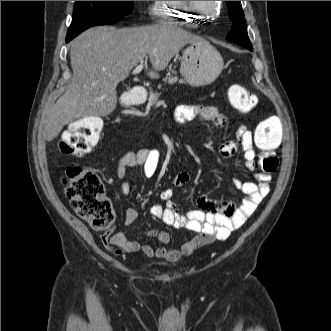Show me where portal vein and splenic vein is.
<instances>
[{"label":"portal vein and splenic vein","instance_id":"18ae733b","mask_svg":"<svg viewBox=\"0 0 331 331\" xmlns=\"http://www.w3.org/2000/svg\"><path fill=\"white\" fill-rule=\"evenodd\" d=\"M144 66V61L141 60L140 64L133 70V74H138L139 72H141V70L143 69Z\"/></svg>","mask_w":331,"mask_h":331}]
</instances>
